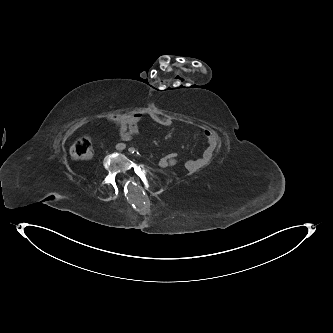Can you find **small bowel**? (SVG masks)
<instances>
[{
    "label": "small bowel",
    "mask_w": 333,
    "mask_h": 333,
    "mask_svg": "<svg viewBox=\"0 0 333 333\" xmlns=\"http://www.w3.org/2000/svg\"><path fill=\"white\" fill-rule=\"evenodd\" d=\"M145 116L162 126H169L172 123V119L168 115L157 112H148L145 114L133 113L129 115L116 116L111 120V122L114 125L120 140L129 141L136 136L139 133L141 121ZM204 136L208 145L202 155L198 158H188L184 161L185 168L190 171H196L203 168L212 158L214 150V134L211 130L206 129L204 130ZM176 164L177 157L173 156V159L170 162L166 161L165 164H160V166L163 168H169Z\"/></svg>",
    "instance_id": "small-bowel-1"
}]
</instances>
